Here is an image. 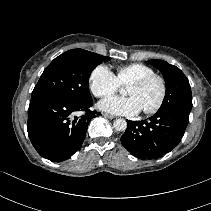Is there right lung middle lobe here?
<instances>
[{
    "instance_id": "right-lung-middle-lobe-1",
    "label": "right lung middle lobe",
    "mask_w": 211,
    "mask_h": 211,
    "mask_svg": "<svg viewBox=\"0 0 211 211\" xmlns=\"http://www.w3.org/2000/svg\"><path fill=\"white\" fill-rule=\"evenodd\" d=\"M110 57L72 49L56 57L42 73L32 97H53L83 104L92 101L88 80L91 72Z\"/></svg>"
}]
</instances>
